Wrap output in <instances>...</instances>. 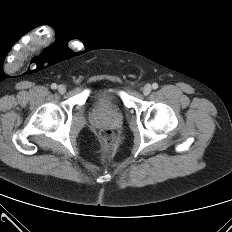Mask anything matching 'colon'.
Segmentation results:
<instances>
[{
	"instance_id": "colon-1",
	"label": "colon",
	"mask_w": 232,
	"mask_h": 232,
	"mask_svg": "<svg viewBox=\"0 0 232 232\" xmlns=\"http://www.w3.org/2000/svg\"><path fill=\"white\" fill-rule=\"evenodd\" d=\"M100 138L102 142L109 147L113 145L115 140L113 131L108 128H103L100 130Z\"/></svg>"
}]
</instances>
